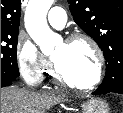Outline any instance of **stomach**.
Listing matches in <instances>:
<instances>
[{"label":"stomach","instance_id":"1","mask_svg":"<svg viewBox=\"0 0 123 113\" xmlns=\"http://www.w3.org/2000/svg\"><path fill=\"white\" fill-rule=\"evenodd\" d=\"M83 113H109L108 104L98 98H91L82 104Z\"/></svg>","mask_w":123,"mask_h":113}]
</instances>
